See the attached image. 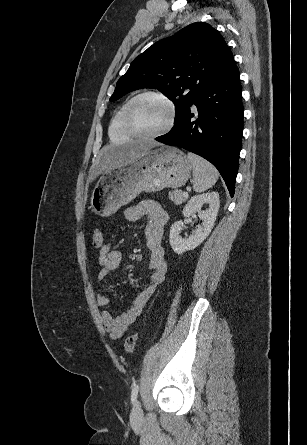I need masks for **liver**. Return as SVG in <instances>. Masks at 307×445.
I'll list each match as a JSON object with an SVG mask.
<instances>
[{
  "instance_id": "6515ba94",
  "label": "liver",
  "mask_w": 307,
  "mask_h": 445,
  "mask_svg": "<svg viewBox=\"0 0 307 445\" xmlns=\"http://www.w3.org/2000/svg\"><path fill=\"white\" fill-rule=\"evenodd\" d=\"M161 142H154V144H149V146H127V148H118V146H104L101 148L97 162L91 168L88 176V180L92 182L95 180L98 174L105 172V170H110L114 166H119V164H124V162H129V160H134L135 156L144 150V148H152V146H158Z\"/></svg>"
}]
</instances>
